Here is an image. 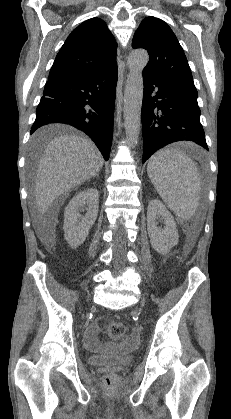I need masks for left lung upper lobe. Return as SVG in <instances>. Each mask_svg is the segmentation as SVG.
I'll return each instance as SVG.
<instances>
[{
	"instance_id": "left-lung-upper-lobe-1",
	"label": "left lung upper lobe",
	"mask_w": 231,
	"mask_h": 419,
	"mask_svg": "<svg viewBox=\"0 0 231 419\" xmlns=\"http://www.w3.org/2000/svg\"><path fill=\"white\" fill-rule=\"evenodd\" d=\"M132 47L144 48L149 53L143 73L194 85L185 53L163 20L153 16L144 18L134 34Z\"/></svg>"
}]
</instances>
